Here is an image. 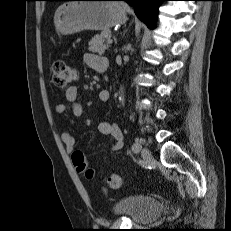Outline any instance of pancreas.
<instances>
[{
  "instance_id": "1",
  "label": "pancreas",
  "mask_w": 231,
  "mask_h": 231,
  "mask_svg": "<svg viewBox=\"0 0 231 231\" xmlns=\"http://www.w3.org/2000/svg\"><path fill=\"white\" fill-rule=\"evenodd\" d=\"M109 31H103L101 34L94 36L89 42L88 50L93 53H98L100 55L105 53V50L109 48L108 43H105V37L109 36Z\"/></svg>"
}]
</instances>
